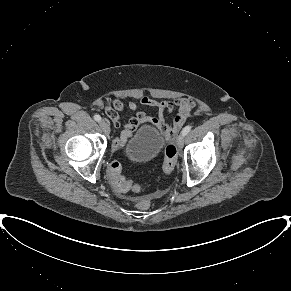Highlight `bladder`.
<instances>
[{
  "mask_svg": "<svg viewBox=\"0 0 291 291\" xmlns=\"http://www.w3.org/2000/svg\"><path fill=\"white\" fill-rule=\"evenodd\" d=\"M165 146V138L157 129L144 125L127 141L125 157L134 163H146L156 158Z\"/></svg>",
  "mask_w": 291,
  "mask_h": 291,
  "instance_id": "bladder-1",
  "label": "bladder"
}]
</instances>
